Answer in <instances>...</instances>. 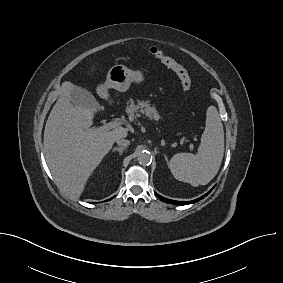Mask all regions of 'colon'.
I'll return each instance as SVG.
<instances>
[{"label": "colon", "mask_w": 283, "mask_h": 283, "mask_svg": "<svg viewBox=\"0 0 283 283\" xmlns=\"http://www.w3.org/2000/svg\"><path fill=\"white\" fill-rule=\"evenodd\" d=\"M148 52L176 74L184 91L191 89L192 79L184 66L158 47H149Z\"/></svg>", "instance_id": "5ec220e1"}]
</instances>
